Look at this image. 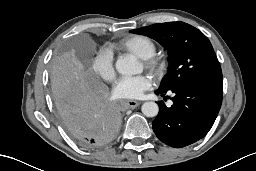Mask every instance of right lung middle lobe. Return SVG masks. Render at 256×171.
I'll list each match as a JSON object with an SVG mask.
<instances>
[{
    "instance_id": "right-lung-middle-lobe-1",
    "label": "right lung middle lobe",
    "mask_w": 256,
    "mask_h": 171,
    "mask_svg": "<svg viewBox=\"0 0 256 171\" xmlns=\"http://www.w3.org/2000/svg\"><path fill=\"white\" fill-rule=\"evenodd\" d=\"M51 91L55 103L81 90V85L65 57H56L50 68Z\"/></svg>"
}]
</instances>
